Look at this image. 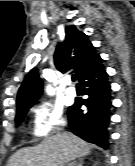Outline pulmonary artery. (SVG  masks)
Here are the masks:
<instances>
[{"instance_id":"pulmonary-artery-1","label":"pulmonary artery","mask_w":135,"mask_h":166,"mask_svg":"<svg viewBox=\"0 0 135 166\" xmlns=\"http://www.w3.org/2000/svg\"><path fill=\"white\" fill-rule=\"evenodd\" d=\"M67 95L69 97H75L76 95V90L74 87H69L68 90H67Z\"/></svg>"}]
</instances>
